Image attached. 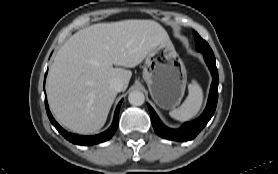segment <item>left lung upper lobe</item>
Here are the masks:
<instances>
[{"label": "left lung upper lobe", "instance_id": "obj_1", "mask_svg": "<svg viewBox=\"0 0 278 174\" xmlns=\"http://www.w3.org/2000/svg\"><path fill=\"white\" fill-rule=\"evenodd\" d=\"M193 34H194L195 42H196V49L199 52H202L203 54H208V55L214 56L213 51L210 48V46L208 45V43L205 40H203L199 36V34H197L196 32H193Z\"/></svg>", "mask_w": 278, "mask_h": 174}]
</instances>
